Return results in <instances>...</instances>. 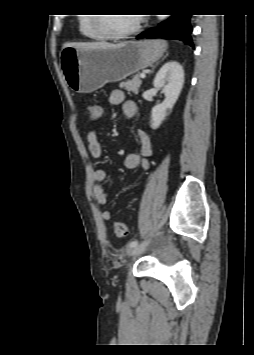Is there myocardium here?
Returning a JSON list of instances; mask_svg holds the SVG:
<instances>
[{
	"mask_svg": "<svg viewBox=\"0 0 254 355\" xmlns=\"http://www.w3.org/2000/svg\"><path fill=\"white\" fill-rule=\"evenodd\" d=\"M103 16L105 15H96V17H94V28L103 39L123 40L135 35L140 30L141 24L139 19H137L134 27L131 29L122 33H112L106 28L105 18Z\"/></svg>",
	"mask_w": 254,
	"mask_h": 355,
	"instance_id": "myocardium-1",
	"label": "myocardium"
}]
</instances>
